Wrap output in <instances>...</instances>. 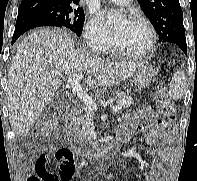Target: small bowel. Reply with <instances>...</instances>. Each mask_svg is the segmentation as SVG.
Returning a JSON list of instances; mask_svg holds the SVG:
<instances>
[{"label": "small bowel", "mask_w": 197, "mask_h": 181, "mask_svg": "<svg viewBox=\"0 0 197 181\" xmlns=\"http://www.w3.org/2000/svg\"><path fill=\"white\" fill-rule=\"evenodd\" d=\"M137 134L143 136L145 157L156 155L159 158L149 171V181H168L169 166L173 161L174 126L171 122L160 120L150 107L142 106L133 115L124 118V125L119 131V135L126 139ZM124 181H128L127 176Z\"/></svg>", "instance_id": "c3829d8e"}]
</instances>
